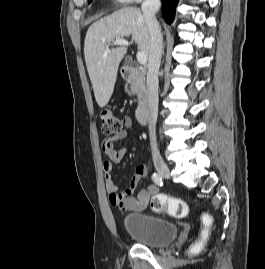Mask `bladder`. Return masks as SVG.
<instances>
[{
    "instance_id": "1",
    "label": "bladder",
    "mask_w": 265,
    "mask_h": 269,
    "mask_svg": "<svg viewBox=\"0 0 265 269\" xmlns=\"http://www.w3.org/2000/svg\"><path fill=\"white\" fill-rule=\"evenodd\" d=\"M122 223L126 233L134 237L137 243L153 248L169 245L178 234L174 223L144 213L126 214Z\"/></svg>"
}]
</instances>
